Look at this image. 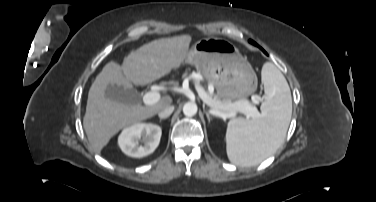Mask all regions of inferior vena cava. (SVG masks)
I'll use <instances>...</instances> for the list:
<instances>
[{"label": "inferior vena cava", "instance_id": "602c4592", "mask_svg": "<svg viewBox=\"0 0 376 202\" xmlns=\"http://www.w3.org/2000/svg\"><path fill=\"white\" fill-rule=\"evenodd\" d=\"M174 111V106H168L164 108L163 110L158 112V116L160 119L168 118Z\"/></svg>", "mask_w": 376, "mask_h": 202}]
</instances>
